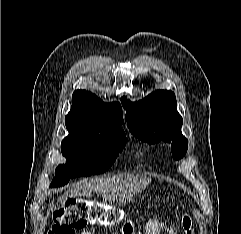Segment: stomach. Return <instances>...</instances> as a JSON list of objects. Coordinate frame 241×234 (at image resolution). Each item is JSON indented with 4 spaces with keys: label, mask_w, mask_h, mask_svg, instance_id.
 <instances>
[{
    "label": "stomach",
    "mask_w": 241,
    "mask_h": 234,
    "mask_svg": "<svg viewBox=\"0 0 241 234\" xmlns=\"http://www.w3.org/2000/svg\"><path fill=\"white\" fill-rule=\"evenodd\" d=\"M133 226L130 225L129 223H125L123 225V230L124 232L127 233V231H129V229H131ZM146 234H159V228L156 222L154 221H149L146 224Z\"/></svg>",
    "instance_id": "stomach-1"
}]
</instances>
